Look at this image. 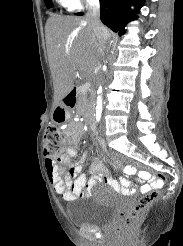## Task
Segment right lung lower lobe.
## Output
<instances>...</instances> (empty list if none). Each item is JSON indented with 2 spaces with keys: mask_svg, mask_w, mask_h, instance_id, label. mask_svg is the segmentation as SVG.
I'll list each match as a JSON object with an SVG mask.
<instances>
[{
  "mask_svg": "<svg viewBox=\"0 0 183 246\" xmlns=\"http://www.w3.org/2000/svg\"><path fill=\"white\" fill-rule=\"evenodd\" d=\"M143 3L144 0H100L101 21L121 36L126 32V24L136 18L130 9L131 6L141 8ZM135 12L137 13L138 10Z\"/></svg>",
  "mask_w": 183,
  "mask_h": 246,
  "instance_id": "1",
  "label": "right lung lower lobe"
}]
</instances>
